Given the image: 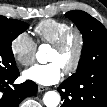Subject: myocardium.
<instances>
[{"label":"myocardium","instance_id":"obj_1","mask_svg":"<svg viewBox=\"0 0 107 107\" xmlns=\"http://www.w3.org/2000/svg\"><path fill=\"white\" fill-rule=\"evenodd\" d=\"M73 36L77 39V48L73 61L70 65L64 68V72L67 75L75 73L81 64L85 50L84 34L80 29L76 27H70L65 30L60 35V37L52 44V48L56 50H62L67 45L69 39Z\"/></svg>","mask_w":107,"mask_h":107}]
</instances>
